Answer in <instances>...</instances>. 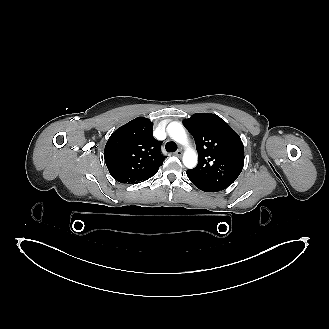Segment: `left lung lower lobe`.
I'll use <instances>...</instances> for the list:
<instances>
[{"mask_svg": "<svg viewBox=\"0 0 329 329\" xmlns=\"http://www.w3.org/2000/svg\"><path fill=\"white\" fill-rule=\"evenodd\" d=\"M187 176H188V178L190 179V181H191V182H192L197 188H199V189L202 190V191H205V192H218V191H220V190H217V189H215V188H213V187L207 186V185H205V184L199 182L198 180H196V179H194L193 177H191V176L189 175L188 172H187Z\"/></svg>", "mask_w": 329, "mask_h": 329, "instance_id": "1", "label": "left lung lower lobe"}]
</instances>
